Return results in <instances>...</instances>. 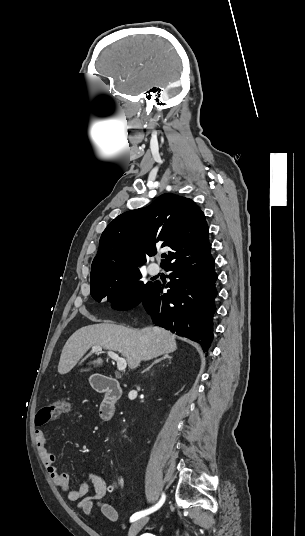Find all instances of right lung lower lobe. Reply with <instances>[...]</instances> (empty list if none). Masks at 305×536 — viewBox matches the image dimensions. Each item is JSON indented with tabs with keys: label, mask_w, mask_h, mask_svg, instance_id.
<instances>
[{
	"label": "right lung lower lobe",
	"mask_w": 305,
	"mask_h": 536,
	"mask_svg": "<svg viewBox=\"0 0 305 536\" xmlns=\"http://www.w3.org/2000/svg\"><path fill=\"white\" fill-rule=\"evenodd\" d=\"M211 245L165 267L170 287L162 293L160 283H153L141 301L153 323L199 343L208 351L213 339V315L217 296L214 259ZM140 302V303H141Z\"/></svg>",
	"instance_id": "right-lung-lower-lobe-1"
}]
</instances>
